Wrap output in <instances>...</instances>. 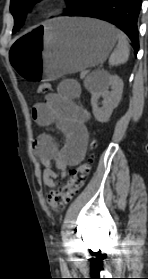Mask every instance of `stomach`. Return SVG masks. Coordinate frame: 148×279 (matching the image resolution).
Returning <instances> with one entry per match:
<instances>
[{
    "label": "stomach",
    "mask_w": 148,
    "mask_h": 279,
    "mask_svg": "<svg viewBox=\"0 0 148 279\" xmlns=\"http://www.w3.org/2000/svg\"><path fill=\"white\" fill-rule=\"evenodd\" d=\"M114 26L86 18H57L18 37L9 59L18 82L56 79L103 63L117 41Z\"/></svg>",
    "instance_id": "obj_1"
}]
</instances>
